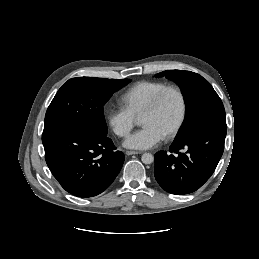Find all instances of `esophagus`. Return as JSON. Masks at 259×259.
<instances>
[{"mask_svg":"<svg viewBox=\"0 0 259 259\" xmlns=\"http://www.w3.org/2000/svg\"><path fill=\"white\" fill-rule=\"evenodd\" d=\"M141 153L142 152H139V151H131V150L126 151L127 155H136V154H141Z\"/></svg>","mask_w":259,"mask_h":259,"instance_id":"1","label":"esophagus"}]
</instances>
